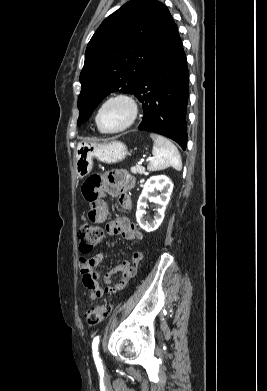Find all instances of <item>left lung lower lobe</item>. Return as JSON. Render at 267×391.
Returning <instances> with one entry per match:
<instances>
[{"mask_svg":"<svg viewBox=\"0 0 267 391\" xmlns=\"http://www.w3.org/2000/svg\"><path fill=\"white\" fill-rule=\"evenodd\" d=\"M189 72L177 32L149 65L134 95L143 103L139 130L162 134L186 149Z\"/></svg>","mask_w":267,"mask_h":391,"instance_id":"obj_1","label":"left lung lower lobe"}]
</instances>
